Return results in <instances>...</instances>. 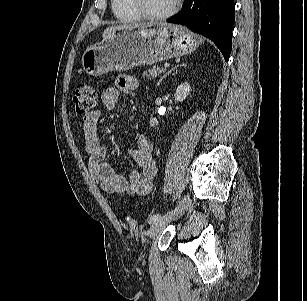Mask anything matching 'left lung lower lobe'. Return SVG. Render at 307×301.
<instances>
[{"instance_id":"1","label":"left lung lower lobe","mask_w":307,"mask_h":301,"mask_svg":"<svg viewBox=\"0 0 307 301\" xmlns=\"http://www.w3.org/2000/svg\"><path fill=\"white\" fill-rule=\"evenodd\" d=\"M211 39L229 60L235 21L234 0H184L179 14L167 20Z\"/></svg>"}]
</instances>
